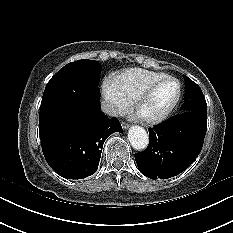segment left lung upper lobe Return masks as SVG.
Masks as SVG:
<instances>
[{
  "label": "left lung upper lobe",
  "mask_w": 233,
  "mask_h": 233,
  "mask_svg": "<svg viewBox=\"0 0 233 233\" xmlns=\"http://www.w3.org/2000/svg\"><path fill=\"white\" fill-rule=\"evenodd\" d=\"M186 96L182 106L184 111L207 110L206 100L200 87L190 78L185 77Z\"/></svg>",
  "instance_id": "obj_1"
}]
</instances>
